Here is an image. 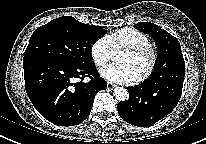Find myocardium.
<instances>
[{"label": "myocardium", "instance_id": "obj_1", "mask_svg": "<svg viewBox=\"0 0 206 144\" xmlns=\"http://www.w3.org/2000/svg\"><path fill=\"white\" fill-rule=\"evenodd\" d=\"M124 51H127L132 55L148 54L149 57L148 65L144 70V72L141 75H139L135 80L136 82L139 83L146 81L153 74L157 65L158 53L156 49L150 44H144V45L124 47Z\"/></svg>", "mask_w": 206, "mask_h": 144}]
</instances>
